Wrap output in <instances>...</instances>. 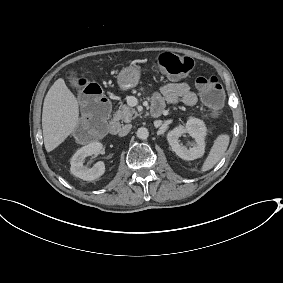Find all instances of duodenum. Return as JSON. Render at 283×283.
<instances>
[{
	"label": "duodenum",
	"mask_w": 283,
	"mask_h": 283,
	"mask_svg": "<svg viewBox=\"0 0 283 283\" xmlns=\"http://www.w3.org/2000/svg\"><path fill=\"white\" fill-rule=\"evenodd\" d=\"M163 107L159 104L154 103L150 107V115L152 117H159L162 114ZM108 111V109H107ZM108 131L110 134L114 135L119 131V123L116 120H112L108 125Z\"/></svg>",
	"instance_id": "duodenum-1"
}]
</instances>
